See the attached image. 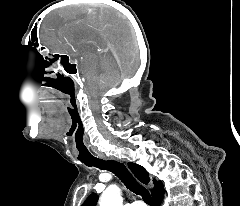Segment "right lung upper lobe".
Here are the masks:
<instances>
[{
    "label": "right lung upper lobe",
    "instance_id": "cb5924a9",
    "mask_svg": "<svg viewBox=\"0 0 240 206\" xmlns=\"http://www.w3.org/2000/svg\"><path fill=\"white\" fill-rule=\"evenodd\" d=\"M128 167L133 172L135 177L138 180H140L142 183L147 184L150 181V177H149L148 173L142 166H140L136 163L129 162ZM153 182H154L155 187L151 191L152 197H155V196H158V195L164 193L162 182L161 181L157 182L156 180H153ZM97 200H98L97 194L92 193L86 199V201L83 203L82 206H96Z\"/></svg>",
    "mask_w": 240,
    "mask_h": 206
}]
</instances>
